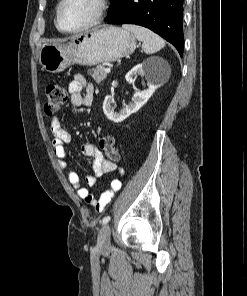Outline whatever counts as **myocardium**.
<instances>
[{
    "label": "myocardium",
    "mask_w": 247,
    "mask_h": 296,
    "mask_svg": "<svg viewBox=\"0 0 247 296\" xmlns=\"http://www.w3.org/2000/svg\"><path fill=\"white\" fill-rule=\"evenodd\" d=\"M66 2L67 0H60L56 9V16H55V25L57 29L64 34H78L93 28L94 26L98 25L102 21L107 10V0H94L96 4V12L93 18L80 28L73 29V30H65L60 26V12L63 5Z\"/></svg>",
    "instance_id": "1"
}]
</instances>
